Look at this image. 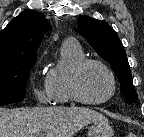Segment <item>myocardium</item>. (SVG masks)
<instances>
[{
    "label": "myocardium",
    "mask_w": 144,
    "mask_h": 137,
    "mask_svg": "<svg viewBox=\"0 0 144 137\" xmlns=\"http://www.w3.org/2000/svg\"><path fill=\"white\" fill-rule=\"evenodd\" d=\"M89 65H97L101 67L107 73L111 81V91L103 99L90 100V99H87L81 92L80 78H81L83 71ZM69 87H70L72 99L74 101L84 104V105L97 106V105H102V104L107 103L115 96L116 91H117V81H116L113 71L104 62L98 59L85 58L79 64H77L75 68L72 70L70 81H69Z\"/></svg>",
    "instance_id": "obj_1"
}]
</instances>
